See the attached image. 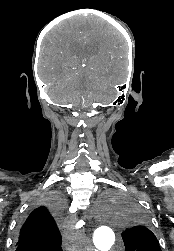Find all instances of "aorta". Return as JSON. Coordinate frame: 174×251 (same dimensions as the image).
<instances>
[{"label":"aorta","instance_id":"aorta-1","mask_svg":"<svg viewBox=\"0 0 174 251\" xmlns=\"http://www.w3.org/2000/svg\"><path fill=\"white\" fill-rule=\"evenodd\" d=\"M114 226L112 209L108 203H105L97 218L96 230L93 234V243L98 250L108 251L111 249L115 241Z\"/></svg>","mask_w":174,"mask_h":251}]
</instances>
